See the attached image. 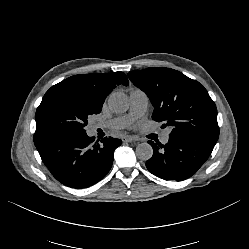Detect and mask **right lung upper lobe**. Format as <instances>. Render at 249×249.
Listing matches in <instances>:
<instances>
[{
    "label": "right lung upper lobe",
    "instance_id": "right-lung-upper-lobe-1",
    "mask_svg": "<svg viewBox=\"0 0 249 249\" xmlns=\"http://www.w3.org/2000/svg\"><path fill=\"white\" fill-rule=\"evenodd\" d=\"M120 84L129 85L126 75L122 72L74 75L52 86L43 98L60 92H74L87 98L93 105L102 108L106 97Z\"/></svg>",
    "mask_w": 249,
    "mask_h": 249
}]
</instances>
